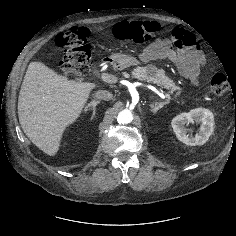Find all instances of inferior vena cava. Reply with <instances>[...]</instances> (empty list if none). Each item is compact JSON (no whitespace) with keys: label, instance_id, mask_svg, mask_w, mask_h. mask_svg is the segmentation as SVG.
Here are the masks:
<instances>
[{"label":"inferior vena cava","instance_id":"602c4592","mask_svg":"<svg viewBox=\"0 0 236 236\" xmlns=\"http://www.w3.org/2000/svg\"><path fill=\"white\" fill-rule=\"evenodd\" d=\"M95 97L99 100H105V101H109L112 99L113 95L112 93H110L109 91L106 90H98L95 93Z\"/></svg>","mask_w":236,"mask_h":236}]
</instances>
